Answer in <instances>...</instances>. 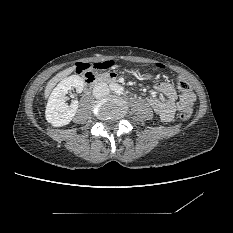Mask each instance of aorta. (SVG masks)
<instances>
[{
  "label": "aorta",
  "instance_id": "762f6f07",
  "mask_svg": "<svg viewBox=\"0 0 233 233\" xmlns=\"http://www.w3.org/2000/svg\"><path fill=\"white\" fill-rule=\"evenodd\" d=\"M115 92H116V93H120V92H121V87H120V86H117L116 89H115Z\"/></svg>",
  "mask_w": 233,
  "mask_h": 233
}]
</instances>
